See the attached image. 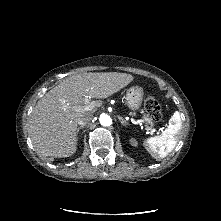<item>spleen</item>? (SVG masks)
<instances>
[{
  "mask_svg": "<svg viewBox=\"0 0 221 221\" xmlns=\"http://www.w3.org/2000/svg\"><path fill=\"white\" fill-rule=\"evenodd\" d=\"M182 128L180 113L176 111L169 120L168 127L160 136L151 137L145 140L151 156L155 159L165 158L176 146L177 135Z\"/></svg>",
  "mask_w": 221,
  "mask_h": 221,
  "instance_id": "obj_1",
  "label": "spleen"
}]
</instances>
